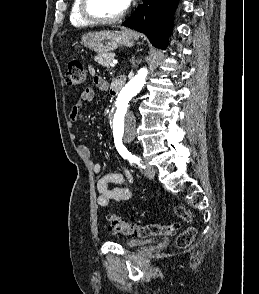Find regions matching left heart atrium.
I'll list each match as a JSON object with an SVG mask.
<instances>
[{
  "label": "left heart atrium",
  "mask_w": 259,
  "mask_h": 294,
  "mask_svg": "<svg viewBox=\"0 0 259 294\" xmlns=\"http://www.w3.org/2000/svg\"><path fill=\"white\" fill-rule=\"evenodd\" d=\"M124 8H127L130 5L131 0H122Z\"/></svg>",
  "instance_id": "1"
}]
</instances>
